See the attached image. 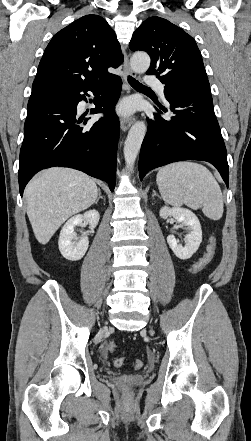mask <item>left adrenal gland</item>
<instances>
[{
	"label": "left adrenal gland",
	"mask_w": 251,
	"mask_h": 441,
	"mask_svg": "<svg viewBox=\"0 0 251 441\" xmlns=\"http://www.w3.org/2000/svg\"><path fill=\"white\" fill-rule=\"evenodd\" d=\"M154 196H158V197H159V195L156 193L155 190H153V195H152V197H154Z\"/></svg>",
	"instance_id": "obj_1"
}]
</instances>
